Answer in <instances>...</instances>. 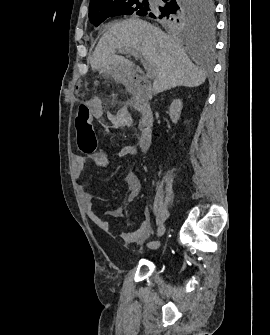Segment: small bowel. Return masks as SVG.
<instances>
[{
	"instance_id": "1",
	"label": "small bowel",
	"mask_w": 270,
	"mask_h": 335,
	"mask_svg": "<svg viewBox=\"0 0 270 335\" xmlns=\"http://www.w3.org/2000/svg\"><path fill=\"white\" fill-rule=\"evenodd\" d=\"M88 106L92 110L94 118L99 119L103 116V111L98 107L96 100L88 101ZM136 154V147L134 145L124 146L118 153L119 158L128 156H134ZM95 161L98 164H106L108 157L102 153H96L92 156L76 155L74 158V172L77 177H80L85 169L86 164L89 161ZM127 190L124 197L125 207L123 209L112 210L109 212L112 217L123 218L126 216L128 208L138 197L142 183L138 174L134 170H129L124 177ZM96 194L95 191L83 190L82 198L88 218L102 231L110 234L111 226L109 222L101 218L95 210L93 204V196ZM145 219L140 223L138 228L132 232H126L121 234V238L125 243H139L146 240L151 233V225L149 221V212L145 210Z\"/></svg>"
}]
</instances>
